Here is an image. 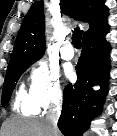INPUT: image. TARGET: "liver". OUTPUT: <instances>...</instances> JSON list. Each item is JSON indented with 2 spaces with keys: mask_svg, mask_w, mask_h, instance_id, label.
I'll list each match as a JSON object with an SVG mask.
<instances>
[{
  "mask_svg": "<svg viewBox=\"0 0 117 136\" xmlns=\"http://www.w3.org/2000/svg\"><path fill=\"white\" fill-rule=\"evenodd\" d=\"M2 136H51L46 120L8 119L2 125ZM56 136H60L57 131Z\"/></svg>",
  "mask_w": 117,
  "mask_h": 136,
  "instance_id": "6515ba94",
  "label": "liver"
}]
</instances>
